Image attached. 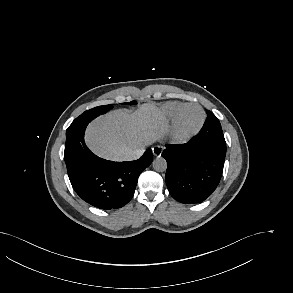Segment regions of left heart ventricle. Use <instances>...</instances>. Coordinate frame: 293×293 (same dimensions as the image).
<instances>
[{
	"mask_svg": "<svg viewBox=\"0 0 293 293\" xmlns=\"http://www.w3.org/2000/svg\"><path fill=\"white\" fill-rule=\"evenodd\" d=\"M201 120V111L196 107H188L183 110L180 118L182 130L188 131L198 125Z\"/></svg>",
	"mask_w": 293,
	"mask_h": 293,
	"instance_id": "b2bd125f",
	"label": "left heart ventricle"
}]
</instances>
